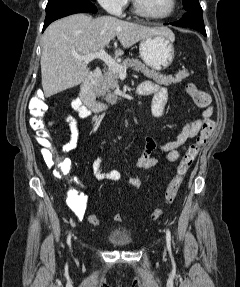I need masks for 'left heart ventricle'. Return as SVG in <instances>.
<instances>
[{
	"instance_id": "left-heart-ventricle-1",
	"label": "left heart ventricle",
	"mask_w": 240,
	"mask_h": 287,
	"mask_svg": "<svg viewBox=\"0 0 240 287\" xmlns=\"http://www.w3.org/2000/svg\"><path fill=\"white\" fill-rule=\"evenodd\" d=\"M144 9L155 15L165 14L171 5V0H140Z\"/></svg>"
}]
</instances>
